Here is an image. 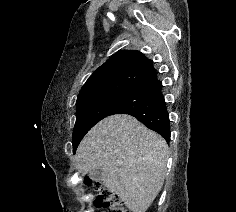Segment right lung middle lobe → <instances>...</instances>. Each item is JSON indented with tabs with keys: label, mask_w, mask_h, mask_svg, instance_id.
<instances>
[{
	"label": "right lung middle lobe",
	"mask_w": 236,
	"mask_h": 212,
	"mask_svg": "<svg viewBox=\"0 0 236 212\" xmlns=\"http://www.w3.org/2000/svg\"><path fill=\"white\" fill-rule=\"evenodd\" d=\"M131 90H116L77 100V118L72 139L74 152L84 135L101 119L112 115Z\"/></svg>",
	"instance_id": "obj_1"
}]
</instances>
